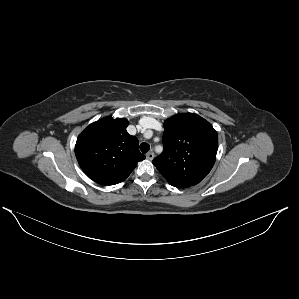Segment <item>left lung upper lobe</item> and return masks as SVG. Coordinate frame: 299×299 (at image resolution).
<instances>
[{
	"mask_svg": "<svg viewBox=\"0 0 299 299\" xmlns=\"http://www.w3.org/2000/svg\"><path fill=\"white\" fill-rule=\"evenodd\" d=\"M164 128V152L153 164L172 186L198 184L215 163L217 132L195 113L174 115L164 122Z\"/></svg>",
	"mask_w": 299,
	"mask_h": 299,
	"instance_id": "5c2ea615",
	"label": "left lung upper lobe"
}]
</instances>
